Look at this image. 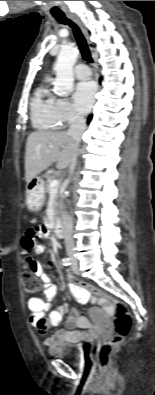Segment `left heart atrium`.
<instances>
[{
  "label": "left heart atrium",
  "mask_w": 155,
  "mask_h": 395,
  "mask_svg": "<svg viewBox=\"0 0 155 395\" xmlns=\"http://www.w3.org/2000/svg\"><path fill=\"white\" fill-rule=\"evenodd\" d=\"M97 92V86L94 81H83L76 85L74 91V102L77 110L81 113H87L92 107Z\"/></svg>",
  "instance_id": "left-heart-atrium-1"
}]
</instances>
